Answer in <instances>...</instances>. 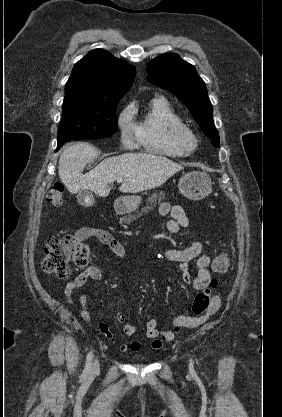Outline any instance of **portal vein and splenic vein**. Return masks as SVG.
<instances>
[{
    "label": "portal vein and splenic vein",
    "instance_id": "1",
    "mask_svg": "<svg viewBox=\"0 0 282 417\" xmlns=\"http://www.w3.org/2000/svg\"><path fill=\"white\" fill-rule=\"evenodd\" d=\"M117 182H123V178H116Z\"/></svg>",
    "mask_w": 282,
    "mask_h": 417
}]
</instances>
